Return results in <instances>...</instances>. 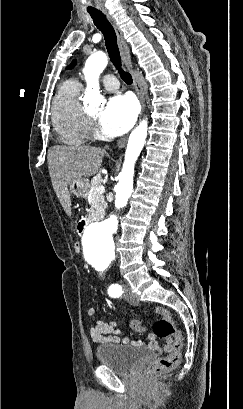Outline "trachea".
Listing matches in <instances>:
<instances>
[{
    "label": "trachea",
    "instance_id": "trachea-1",
    "mask_svg": "<svg viewBox=\"0 0 243 409\" xmlns=\"http://www.w3.org/2000/svg\"><path fill=\"white\" fill-rule=\"evenodd\" d=\"M89 14L91 15L96 27L103 33L106 49L111 62L120 73L122 80L126 84H132L131 75L122 69L120 52L117 45V36L114 28L101 11H90Z\"/></svg>",
    "mask_w": 243,
    "mask_h": 409
}]
</instances>
